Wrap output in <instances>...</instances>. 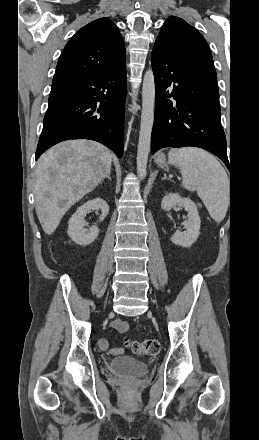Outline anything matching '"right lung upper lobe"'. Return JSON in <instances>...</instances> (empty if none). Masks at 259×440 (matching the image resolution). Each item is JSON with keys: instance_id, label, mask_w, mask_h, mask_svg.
<instances>
[{"instance_id": "right-lung-upper-lobe-1", "label": "right lung upper lobe", "mask_w": 259, "mask_h": 440, "mask_svg": "<svg viewBox=\"0 0 259 440\" xmlns=\"http://www.w3.org/2000/svg\"><path fill=\"white\" fill-rule=\"evenodd\" d=\"M125 62L123 38L107 18L82 27L66 44L53 82L74 81L95 75Z\"/></svg>"}]
</instances>
